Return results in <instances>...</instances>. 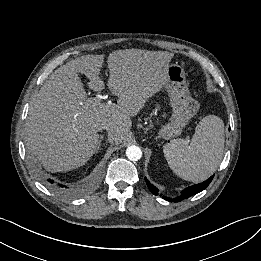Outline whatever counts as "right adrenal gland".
I'll return each mask as SVG.
<instances>
[{"mask_svg":"<svg viewBox=\"0 0 261 261\" xmlns=\"http://www.w3.org/2000/svg\"><path fill=\"white\" fill-rule=\"evenodd\" d=\"M102 140H103V135H100L99 141H98V146H97V148L95 150V153H97L100 150L101 144H102Z\"/></svg>","mask_w":261,"mask_h":261,"instance_id":"2a0ac1e0","label":"right adrenal gland"}]
</instances>
